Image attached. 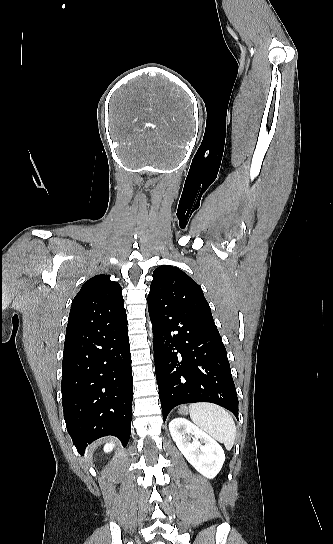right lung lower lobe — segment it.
I'll return each mask as SVG.
<instances>
[{
    "mask_svg": "<svg viewBox=\"0 0 333 544\" xmlns=\"http://www.w3.org/2000/svg\"><path fill=\"white\" fill-rule=\"evenodd\" d=\"M127 315L66 334L62 406L78 452L113 435L130 437L133 384Z\"/></svg>",
    "mask_w": 333,
    "mask_h": 544,
    "instance_id": "obj_1",
    "label": "right lung lower lobe"
}]
</instances>
